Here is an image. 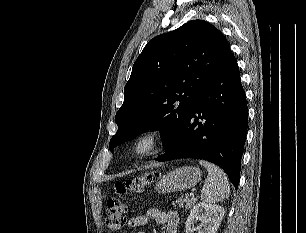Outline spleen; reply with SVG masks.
<instances>
[{"label":"spleen","instance_id":"1","mask_svg":"<svg viewBox=\"0 0 306 233\" xmlns=\"http://www.w3.org/2000/svg\"><path fill=\"white\" fill-rule=\"evenodd\" d=\"M199 163L208 171V177L201 190V199L210 204L228 199L230 186L226 174L210 162L200 160Z\"/></svg>","mask_w":306,"mask_h":233}]
</instances>
